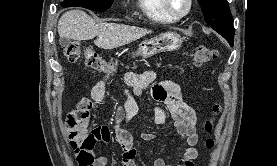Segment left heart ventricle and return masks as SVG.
I'll return each mask as SVG.
<instances>
[{
	"label": "left heart ventricle",
	"mask_w": 277,
	"mask_h": 166,
	"mask_svg": "<svg viewBox=\"0 0 277 166\" xmlns=\"http://www.w3.org/2000/svg\"><path fill=\"white\" fill-rule=\"evenodd\" d=\"M169 5L176 13H182L187 8V0H169Z\"/></svg>",
	"instance_id": "obj_1"
}]
</instances>
